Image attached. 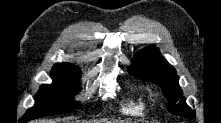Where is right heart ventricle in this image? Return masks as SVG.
<instances>
[{"instance_id": "obj_1", "label": "right heart ventricle", "mask_w": 221, "mask_h": 123, "mask_svg": "<svg viewBox=\"0 0 221 123\" xmlns=\"http://www.w3.org/2000/svg\"><path fill=\"white\" fill-rule=\"evenodd\" d=\"M146 107L145 96L142 93L136 94L122 105V112L130 115H142Z\"/></svg>"}]
</instances>
